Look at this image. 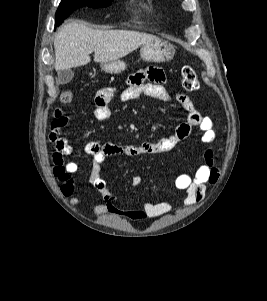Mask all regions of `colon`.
Segmentation results:
<instances>
[{"label": "colon", "mask_w": 267, "mask_h": 301, "mask_svg": "<svg viewBox=\"0 0 267 301\" xmlns=\"http://www.w3.org/2000/svg\"><path fill=\"white\" fill-rule=\"evenodd\" d=\"M181 85L185 91H194L199 88V79L191 66H184L181 71ZM73 99V93L70 90H64L60 95L62 103H70Z\"/></svg>", "instance_id": "obj_1"}]
</instances>
